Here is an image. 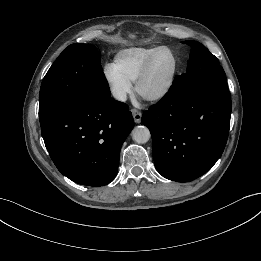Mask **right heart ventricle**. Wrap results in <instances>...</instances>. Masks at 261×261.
I'll return each mask as SVG.
<instances>
[{"mask_svg": "<svg viewBox=\"0 0 261 261\" xmlns=\"http://www.w3.org/2000/svg\"><path fill=\"white\" fill-rule=\"evenodd\" d=\"M158 47H133L119 51L113 65L130 82H135L144 64Z\"/></svg>", "mask_w": 261, "mask_h": 261, "instance_id": "1", "label": "right heart ventricle"}]
</instances>
